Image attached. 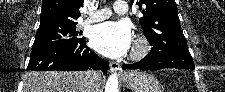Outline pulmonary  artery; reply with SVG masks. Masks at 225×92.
<instances>
[{
    "mask_svg": "<svg viewBox=\"0 0 225 92\" xmlns=\"http://www.w3.org/2000/svg\"><path fill=\"white\" fill-rule=\"evenodd\" d=\"M114 9L119 14H125L128 12V7L125 1H118L114 4ZM111 11L109 8H102L96 12L89 14V18L84 22V24L95 23L109 18Z\"/></svg>",
    "mask_w": 225,
    "mask_h": 92,
    "instance_id": "e3ab8cb5",
    "label": "pulmonary artery"
}]
</instances>
